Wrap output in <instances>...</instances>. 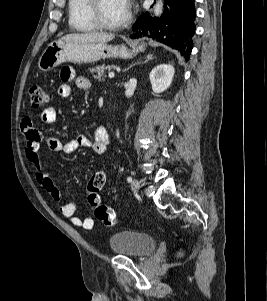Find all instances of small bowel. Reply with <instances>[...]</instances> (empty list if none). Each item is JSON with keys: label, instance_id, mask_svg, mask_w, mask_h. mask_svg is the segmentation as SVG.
Segmentation results:
<instances>
[{"label": "small bowel", "instance_id": "small-bowel-1", "mask_svg": "<svg viewBox=\"0 0 267 301\" xmlns=\"http://www.w3.org/2000/svg\"><path fill=\"white\" fill-rule=\"evenodd\" d=\"M60 79L62 83L58 87V94L61 98H69L71 96L72 88L69 82L72 80H75L76 86L81 90H87L91 87L90 80L87 77L76 76L74 70L68 67L61 70ZM40 119L45 124L53 123L56 120L55 109L53 107H46L42 110ZM20 129L25 137V154L36 173V181L55 201L60 200V192L41 163L39 157L41 143L45 142L52 151L65 154H71L79 148H90L99 155L105 153L110 143L109 134L104 126H99L95 129L92 139L84 134H80L67 142H62L56 137L44 136L34 127L29 117L22 119ZM78 206L79 203L76 201L65 202L60 205V212L65 218L69 219L74 226L91 229L94 224L93 219L89 217L82 219L77 216Z\"/></svg>", "mask_w": 267, "mask_h": 301}]
</instances>
